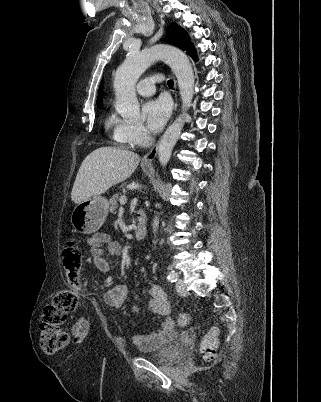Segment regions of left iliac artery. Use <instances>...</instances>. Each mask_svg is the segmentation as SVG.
Listing matches in <instances>:
<instances>
[{
	"label": "left iliac artery",
	"mask_w": 321,
	"mask_h": 402,
	"mask_svg": "<svg viewBox=\"0 0 321 402\" xmlns=\"http://www.w3.org/2000/svg\"><path fill=\"white\" fill-rule=\"evenodd\" d=\"M167 279L170 282H176L178 280V275H177V273L175 271H171V272H169V274L167 276Z\"/></svg>",
	"instance_id": "obj_1"
}]
</instances>
